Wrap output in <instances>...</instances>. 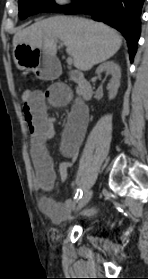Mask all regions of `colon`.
I'll list each match as a JSON object with an SVG mask.
<instances>
[{
	"instance_id": "colon-1",
	"label": "colon",
	"mask_w": 148,
	"mask_h": 279,
	"mask_svg": "<svg viewBox=\"0 0 148 279\" xmlns=\"http://www.w3.org/2000/svg\"><path fill=\"white\" fill-rule=\"evenodd\" d=\"M21 98L23 100V103L30 102L33 98V92L29 89H24L21 93Z\"/></svg>"
}]
</instances>
